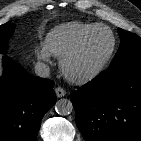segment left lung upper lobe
<instances>
[{"instance_id":"5c2ea615","label":"left lung upper lobe","mask_w":141,"mask_h":141,"mask_svg":"<svg viewBox=\"0 0 141 141\" xmlns=\"http://www.w3.org/2000/svg\"><path fill=\"white\" fill-rule=\"evenodd\" d=\"M118 32L121 44L109 68L141 59V38L121 28H119Z\"/></svg>"}]
</instances>
